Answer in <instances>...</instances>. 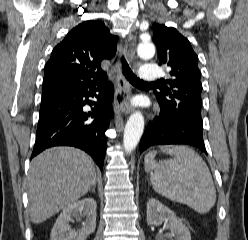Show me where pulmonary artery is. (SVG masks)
Wrapping results in <instances>:
<instances>
[{"label": "pulmonary artery", "mask_w": 248, "mask_h": 240, "mask_svg": "<svg viewBox=\"0 0 248 240\" xmlns=\"http://www.w3.org/2000/svg\"><path fill=\"white\" fill-rule=\"evenodd\" d=\"M161 70L155 64L143 65L139 71V78L144 82H154L160 77Z\"/></svg>", "instance_id": "pulmonary-artery-1"}]
</instances>
